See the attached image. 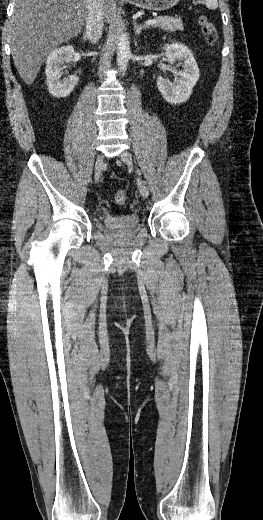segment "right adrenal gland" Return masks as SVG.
<instances>
[{
  "mask_svg": "<svg viewBox=\"0 0 263 520\" xmlns=\"http://www.w3.org/2000/svg\"><path fill=\"white\" fill-rule=\"evenodd\" d=\"M83 39H84V41H86V40H87V37H86V34H85V32L83 33Z\"/></svg>",
  "mask_w": 263,
  "mask_h": 520,
  "instance_id": "right-adrenal-gland-1",
  "label": "right adrenal gland"
}]
</instances>
